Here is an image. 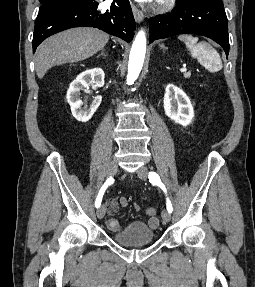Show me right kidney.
I'll return each mask as SVG.
<instances>
[{"label":"right kidney","mask_w":255,"mask_h":287,"mask_svg":"<svg viewBox=\"0 0 255 287\" xmlns=\"http://www.w3.org/2000/svg\"><path fill=\"white\" fill-rule=\"evenodd\" d=\"M104 78L105 74L101 68H93V70L82 72V74L77 76L76 80L71 82L66 98L71 106V112L78 122H88L102 102V96H96L91 106L82 108L80 90L88 88L90 84H94L96 88H102L104 86Z\"/></svg>","instance_id":"ca27d5eb"}]
</instances>
